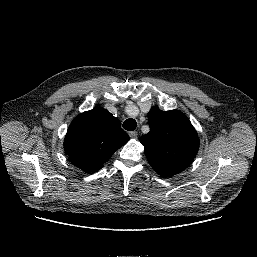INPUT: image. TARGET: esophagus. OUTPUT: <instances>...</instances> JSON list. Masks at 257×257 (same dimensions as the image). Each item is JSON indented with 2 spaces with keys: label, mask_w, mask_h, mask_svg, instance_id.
<instances>
[{
  "label": "esophagus",
  "mask_w": 257,
  "mask_h": 257,
  "mask_svg": "<svg viewBox=\"0 0 257 257\" xmlns=\"http://www.w3.org/2000/svg\"><path fill=\"white\" fill-rule=\"evenodd\" d=\"M129 136H130L131 138H133V139H136L137 136H138V134H137L136 131H131V132H129Z\"/></svg>",
  "instance_id": "obj_1"
}]
</instances>
